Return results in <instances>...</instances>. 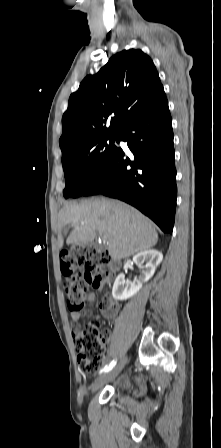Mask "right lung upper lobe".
Segmentation results:
<instances>
[{
	"label": "right lung upper lobe",
	"instance_id": "obj_1",
	"mask_svg": "<svg viewBox=\"0 0 221 448\" xmlns=\"http://www.w3.org/2000/svg\"><path fill=\"white\" fill-rule=\"evenodd\" d=\"M165 96L158 72L139 49L117 53L71 94L62 117V159L97 138L118 134L137 113Z\"/></svg>",
	"mask_w": 221,
	"mask_h": 448
}]
</instances>
